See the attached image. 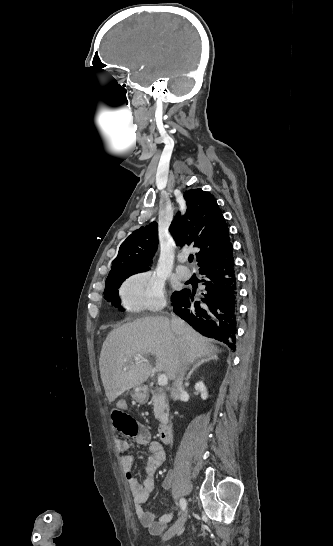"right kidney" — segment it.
<instances>
[{
    "label": "right kidney",
    "instance_id": "ca27d5eb",
    "mask_svg": "<svg viewBox=\"0 0 333 546\" xmlns=\"http://www.w3.org/2000/svg\"><path fill=\"white\" fill-rule=\"evenodd\" d=\"M195 390L201 393V398L205 400L208 397L207 389L203 382H197L195 384Z\"/></svg>",
    "mask_w": 333,
    "mask_h": 546
}]
</instances>
